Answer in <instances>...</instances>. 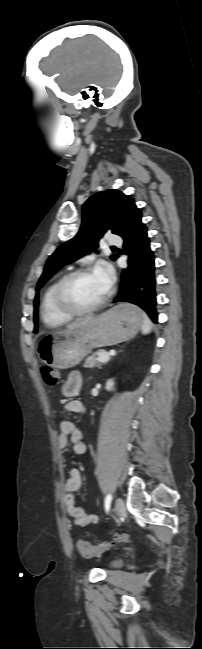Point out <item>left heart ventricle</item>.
I'll use <instances>...</instances> for the list:
<instances>
[{
    "label": "left heart ventricle",
    "mask_w": 202,
    "mask_h": 649,
    "mask_svg": "<svg viewBox=\"0 0 202 649\" xmlns=\"http://www.w3.org/2000/svg\"><path fill=\"white\" fill-rule=\"evenodd\" d=\"M106 291L93 272H90L75 278L69 284L67 296L74 306L87 308L102 299Z\"/></svg>",
    "instance_id": "1"
}]
</instances>
